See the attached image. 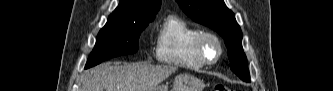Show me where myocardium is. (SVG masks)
<instances>
[{"label": "myocardium", "mask_w": 333, "mask_h": 91, "mask_svg": "<svg viewBox=\"0 0 333 91\" xmlns=\"http://www.w3.org/2000/svg\"><path fill=\"white\" fill-rule=\"evenodd\" d=\"M208 41H213L218 48V53L214 59H210L206 55V44ZM224 52L223 43L218 35L212 32H201L195 41V53L198 59L204 65H214L216 64L222 57Z\"/></svg>", "instance_id": "f54148a6"}]
</instances>
